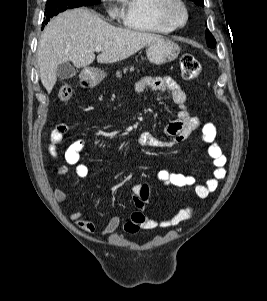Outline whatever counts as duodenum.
I'll use <instances>...</instances> for the list:
<instances>
[{
	"label": "duodenum",
	"instance_id": "duodenum-1",
	"mask_svg": "<svg viewBox=\"0 0 267 301\" xmlns=\"http://www.w3.org/2000/svg\"><path fill=\"white\" fill-rule=\"evenodd\" d=\"M84 79H85L89 84H91V81H92V77H91V76H85Z\"/></svg>",
	"mask_w": 267,
	"mask_h": 301
}]
</instances>
